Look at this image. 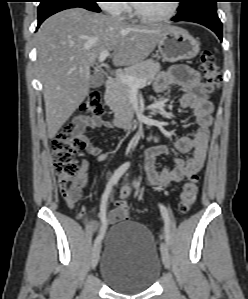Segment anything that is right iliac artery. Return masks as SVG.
<instances>
[{
    "label": "right iliac artery",
    "mask_w": 248,
    "mask_h": 299,
    "mask_svg": "<svg viewBox=\"0 0 248 299\" xmlns=\"http://www.w3.org/2000/svg\"><path fill=\"white\" fill-rule=\"evenodd\" d=\"M129 167H130V162H125L124 164H122L117 170H115L114 174L112 175L109 182L107 183L106 189L101 198V205H100V219L102 221V226L100 229V234L97 236L95 243L103 239L105 230L107 228L106 208H107V201H108L109 194L113 186L117 184L119 179L128 170Z\"/></svg>",
    "instance_id": "right-iliac-artery-1"
}]
</instances>
